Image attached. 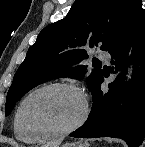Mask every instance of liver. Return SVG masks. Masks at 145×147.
Returning <instances> with one entry per match:
<instances>
[{"label":"liver","instance_id":"liver-1","mask_svg":"<svg viewBox=\"0 0 145 147\" xmlns=\"http://www.w3.org/2000/svg\"><path fill=\"white\" fill-rule=\"evenodd\" d=\"M61 140H56L53 142H48L47 144H44L43 147H59V145L61 144Z\"/></svg>","mask_w":145,"mask_h":147}]
</instances>
